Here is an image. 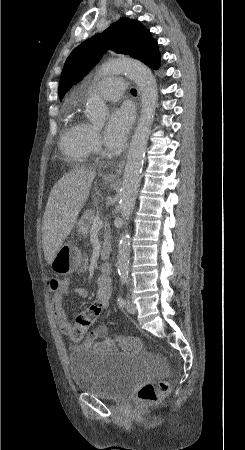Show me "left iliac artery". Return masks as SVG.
<instances>
[{
	"label": "left iliac artery",
	"mask_w": 245,
	"mask_h": 450,
	"mask_svg": "<svg viewBox=\"0 0 245 450\" xmlns=\"http://www.w3.org/2000/svg\"><path fill=\"white\" fill-rule=\"evenodd\" d=\"M126 282H127V278L126 277H121V288L125 285ZM117 302H118L120 307H123L125 305V301L122 298V296L118 297Z\"/></svg>",
	"instance_id": "obj_1"
}]
</instances>
